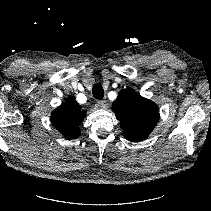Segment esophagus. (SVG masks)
I'll return each mask as SVG.
<instances>
[{"instance_id": "1", "label": "esophagus", "mask_w": 211, "mask_h": 211, "mask_svg": "<svg viewBox=\"0 0 211 211\" xmlns=\"http://www.w3.org/2000/svg\"><path fill=\"white\" fill-rule=\"evenodd\" d=\"M98 106L102 109H107L109 107V104L105 100H100L97 102Z\"/></svg>"}]
</instances>
